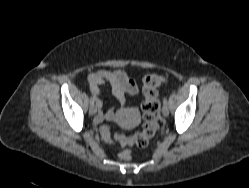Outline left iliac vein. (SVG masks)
Listing matches in <instances>:
<instances>
[{
  "mask_svg": "<svg viewBox=\"0 0 249 188\" xmlns=\"http://www.w3.org/2000/svg\"><path fill=\"white\" fill-rule=\"evenodd\" d=\"M162 114L166 117L169 115V107L167 104H163V107H162Z\"/></svg>",
  "mask_w": 249,
  "mask_h": 188,
  "instance_id": "1",
  "label": "left iliac vein"
}]
</instances>
